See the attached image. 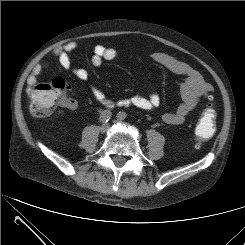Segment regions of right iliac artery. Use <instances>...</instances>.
Listing matches in <instances>:
<instances>
[{"instance_id":"1","label":"right iliac artery","mask_w":245,"mask_h":245,"mask_svg":"<svg viewBox=\"0 0 245 245\" xmlns=\"http://www.w3.org/2000/svg\"><path fill=\"white\" fill-rule=\"evenodd\" d=\"M112 116V113L110 110H104L100 115V122L107 123Z\"/></svg>"}]
</instances>
